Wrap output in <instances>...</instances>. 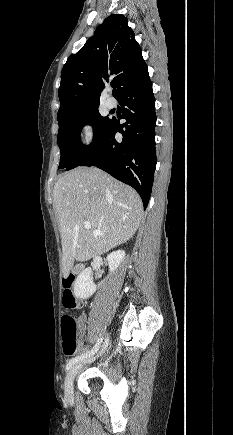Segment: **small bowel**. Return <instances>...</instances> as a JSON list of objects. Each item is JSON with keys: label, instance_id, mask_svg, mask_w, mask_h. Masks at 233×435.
I'll return each instance as SVG.
<instances>
[{"label": "small bowel", "instance_id": "c3829d8e", "mask_svg": "<svg viewBox=\"0 0 233 435\" xmlns=\"http://www.w3.org/2000/svg\"><path fill=\"white\" fill-rule=\"evenodd\" d=\"M79 303H80V307H82L84 305L83 302H79ZM85 334H86L85 325H84L83 321L80 320V322H79V335H78V343L80 346H83V344H84Z\"/></svg>", "mask_w": 233, "mask_h": 435}]
</instances>
